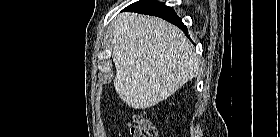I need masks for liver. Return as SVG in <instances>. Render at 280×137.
<instances>
[{"label": "liver", "instance_id": "liver-1", "mask_svg": "<svg viewBox=\"0 0 280 137\" xmlns=\"http://www.w3.org/2000/svg\"><path fill=\"white\" fill-rule=\"evenodd\" d=\"M112 27L114 87L128 106L152 107L197 75L199 59L176 26L157 17L122 13Z\"/></svg>", "mask_w": 280, "mask_h": 137}]
</instances>
